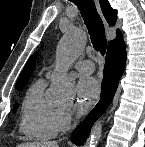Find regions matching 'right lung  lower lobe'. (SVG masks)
Masks as SVG:
<instances>
[{"label":"right lung lower lobe","instance_id":"obj_1","mask_svg":"<svg viewBox=\"0 0 145 147\" xmlns=\"http://www.w3.org/2000/svg\"><path fill=\"white\" fill-rule=\"evenodd\" d=\"M126 62V48L121 35L112 40L108 45L105 60L104 75L101 85V100L89 113L86 119L73 132L71 141L79 146L89 136L93 123L104 113L112 102L117 90L118 81L123 74Z\"/></svg>","mask_w":145,"mask_h":147}]
</instances>
